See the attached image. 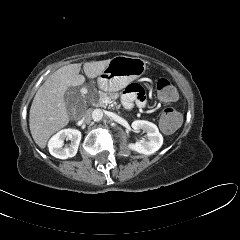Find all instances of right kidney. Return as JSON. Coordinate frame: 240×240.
<instances>
[{
  "instance_id": "right-kidney-1",
  "label": "right kidney",
  "mask_w": 240,
  "mask_h": 240,
  "mask_svg": "<svg viewBox=\"0 0 240 240\" xmlns=\"http://www.w3.org/2000/svg\"><path fill=\"white\" fill-rule=\"evenodd\" d=\"M70 140L71 144L63 148L64 140ZM81 140V132L77 129H63L55 134L48 143L49 152L52 156L59 159L74 157L78 151Z\"/></svg>"
}]
</instances>
